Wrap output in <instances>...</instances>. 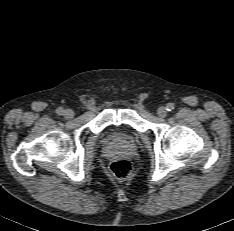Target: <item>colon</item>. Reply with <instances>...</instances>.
I'll return each instance as SVG.
<instances>
[{"label": "colon", "instance_id": "5ec220e1", "mask_svg": "<svg viewBox=\"0 0 234 231\" xmlns=\"http://www.w3.org/2000/svg\"><path fill=\"white\" fill-rule=\"evenodd\" d=\"M113 170L118 177L125 179L129 176L131 167L126 161H118L113 165Z\"/></svg>", "mask_w": 234, "mask_h": 231}]
</instances>
